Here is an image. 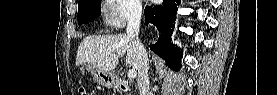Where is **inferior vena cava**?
Listing matches in <instances>:
<instances>
[{
	"instance_id": "inferior-vena-cava-1",
	"label": "inferior vena cava",
	"mask_w": 277,
	"mask_h": 95,
	"mask_svg": "<svg viewBox=\"0 0 277 95\" xmlns=\"http://www.w3.org/2000/svg\"><path fill=\"white\" fill-rule=\"evenodd\" d=\"M142 12L143 8L141 4H136L132 7L128 18L126 32L128 38L132 41L136 52L137 85L139 95H150L147 52L138 38Z\"/></svg>"
}]
</instances>
